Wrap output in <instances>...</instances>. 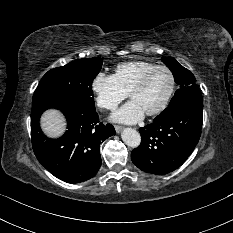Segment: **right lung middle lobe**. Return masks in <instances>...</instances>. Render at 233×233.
Returning a JSON list of instances; mask_svg holds the SVG:
<instances>
[{
  "mask_svg": "<svg viewBox=\"0 0 233 233\" xmlns=\"http://www.w3.org/2000/svg\"><path fill=\"white\" fill-rule=\"evenodd\" d=\"M101 66L102 59L94 57L51 69L41 79L32 103L41 100L69 101L95 108L91 87Z\"/></svg>",
  "mask_w": 233,
  "mask_h": 233,
  "instance_id": "1",
  "label": "right lung middle lobe"
}]
</instances>
